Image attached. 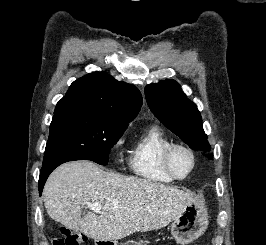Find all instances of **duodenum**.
<instances>
[{"mask_svg": "<svg viewBox=\"0 0 266 245\" xmlns=\"http://www.w3.org/2000/svg\"><path fill=\"white\" fill-rule=\"evenodd\" d=\"M115 237H93V245H113Z\"/></svg>", "mask_w": 266, "mask_h": 245, "instance_id": "obj_1", "label": "duodenum"}]
</instances>
